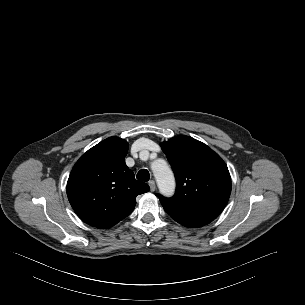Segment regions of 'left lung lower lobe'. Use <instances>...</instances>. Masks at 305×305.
<instances>
[{
    "instance_id": "0a47b994",
    "label": "left lung lower lobe",
    "mask_w": 305,
    "mask_h": 305,
    "mask_svg": "<svg viewBox=\"0 0 305 305\" xmlns=\"http://www.w3.org/2000/svg\"><path fill=\"white\" fill-rule=\"evenodd\" d=\"M172 218L186 227H201L212 221L206 219L200 220V219L180 218V217H172Z\"/></svg>"
}]
</instances>
